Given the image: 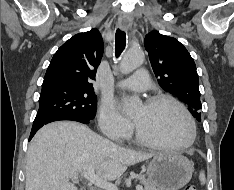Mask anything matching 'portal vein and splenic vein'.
Masks as SVG:
<instances>
[{"label": "portal vein and splenic vein", "mask_w": 234, "mask_h": 190, "mask_svg": "<svg viewBox=\"0 0 234 190\" xmlns=\"http://www.w3.org/2000/svg\"><path fill=\"white\" fill-rule=\"evenodd\" d=\"M82 175L91 183H93L94 185H96L99 188L105 189V190H118V188L116 187V185L98 177L95 173H94V168L91 167L89 169H87L86 171L82 172ZM136 190H143V187L140 185L136 186Z\"/></svg>", "instance_id": "1"}]
</instances>
